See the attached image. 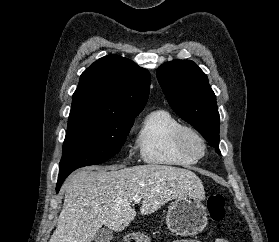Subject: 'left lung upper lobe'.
<instances>
[{
    "instance_id": "1",
    "label": "left lung upper lobe",
    "mask_w": 279,
    "mask_h": 242,
    "mask_svg": "<svg viewBox=\"0 0 279 242\" xmlns=\"http://www.w3.org/2000/svg\"><path fill=\"white\" fill-rule=\"evenodd\" d=\"M156 74L171 108L221 154L218 148L220 118L206 74L189 60L164 63Z\"/></svg>"
}]
</instances>
